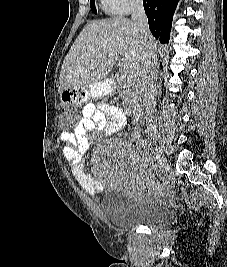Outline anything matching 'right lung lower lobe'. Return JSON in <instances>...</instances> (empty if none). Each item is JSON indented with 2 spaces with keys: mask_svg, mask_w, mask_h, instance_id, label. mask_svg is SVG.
Segmentation results:
<instances>
[{
  "mask_svg": "<svg viewBox=\"0 0 227 267\" xmlns=\"http://www.w3.org/2000/svg\"><path fill=\"white\" fill-rule=\"evenodd\" d=\"M179 0H143L149 29L161 42L168 43L172 18Z\"/></svg>",
  "mask_w": 227,
  "mask_h": 267,
  "instance_id": "98d812e1",
  "label": "right lung lower lobe"
}]
</instances>
